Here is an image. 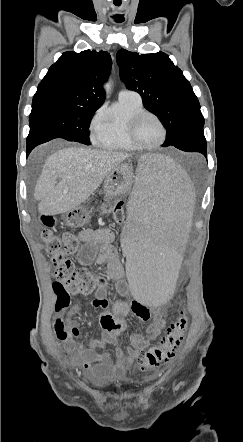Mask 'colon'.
I'll list each match as a JSON object with an SVG mask.
<instances>
[{
	"label": "colon",
	"instance_id": "obj_1",
	"mask_svg": "<svg viewBox=\"0 0 243 442\" xmlns=\"http://www.w3.org/2000/svg\"><path fill=\"white\" fill-rule=\"evenodd\" d=\"M123 218L122 206L118 204L115 219L119 224H122ZM41 220L45 228L40 232V237L45 242L51 256L55 277L53 283V290L57 297L55 307L67 308L71 296L92 293L98 288L96 282L101 277L95 276L87 268H76L71 261L70 256L79 249L80 244L76 235L66 233L60 237L54 234L52 228L56 225V219L52 215L44 214ZM181 305L187 308L190 302L184 299ZM188 322L187 314L181 312L167 327L158 342L139 358L136 365L137 370H150L173 358L183 341Z\"/></svg>",
	"mask_w": 243,
	"mask_h": 442
}]
</instances>
